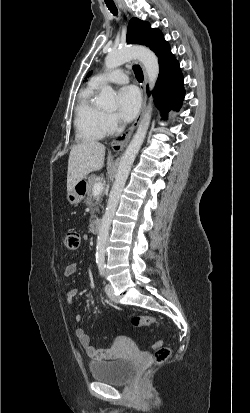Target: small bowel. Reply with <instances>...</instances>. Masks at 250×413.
I'll return each mask as SVG.
<instances>
[{
    "label": "small bowel",
    "instance_id": "c3829d8e",
    "mask_svg": "<svg viewBox=\"0 0 250 413\" xmlns=\"http://www.w3.org/2000/svg\"><path fill=\"white\" fill-rule=\"evenodd\" d=\"M77 270V265L76 263H69L64 269V276L65 277H70L72 276ZM78 291L77 289H70L68 290L66 297L67 301L70 304H74V299L77 295ZM75 320L77 322H80L83 320V315L78 313L75 316ZM76 336L81 344V346L85 349L87 355L95 361H102V360H110L113 359L117 356L118 349L120 344L122 343L123 339L121 337H117L112 346L108 349H97L95 348L91 342H90V337L86 333V331L82 328H78L76 330Z\"/></svg>",
    "mask_w": 250,
    "mask_h": 413
}]
</instances>
